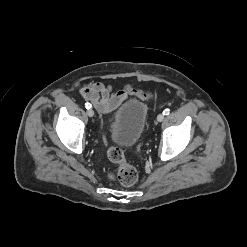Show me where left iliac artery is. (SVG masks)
I'll return each mask as SVG.
<instances>
[{"instance_id": "1", "label": "left iliac artery", "mask_w": 247, "mask_h": 247, "mask_svg": "<svg viewBox=\"0 0 247 247\" xmlns=\"http://www.w3.org/2000/svg\"><path fill=\"white\" fill-rule=\"evenodd\" d=\"M169 113H170V110H169V109H165V110L163 111V115H169Z\"/></svg>"}]
</instances>
